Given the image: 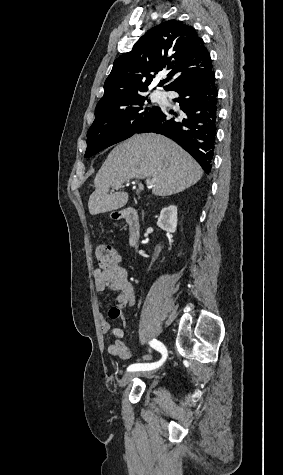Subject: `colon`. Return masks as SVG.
I'll use <instances>...</instances> for the list:
<instances>
[{"instance_id": "obj_1", "label": "colon", "mask_w": 283, "mask_h": 475, "mask_svg": "<svg viewBox=\"0 0 283 475\" xmlns=\"http://www.w3.org/2000/svg\"><path fill=\"white\" fill-rule=\"evenodd\" d=\"M95 256L99 266L104 268H116L119 262L118 253L112 246L107 244L97 246Z\"/></svg>"}]
</instances>
